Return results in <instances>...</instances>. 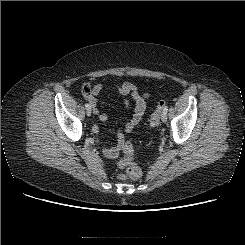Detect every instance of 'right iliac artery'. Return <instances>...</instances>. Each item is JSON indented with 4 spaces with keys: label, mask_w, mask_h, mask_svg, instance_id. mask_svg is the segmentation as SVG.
<instances>
[{
    "label": "right iliac artery",
    "mask_w": 245,
    "mask_h": 245,
    "mask_svg": "<svg viewBox=\"0 0 245 245\" xmlns=\"http://www.w3.org/2000/svg\"><path fill=\"white\" fill-rule=\"evenodd\" d=\"M85 107H86L87 110L91 108L88 103H85Z\"/></svg>",
    "instance_id": "obj_1"
}]
</instances>
